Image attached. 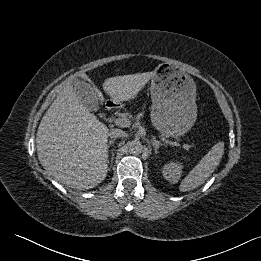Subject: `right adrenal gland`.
<instances>
[{
	"instance_id": "1",
	"label": "right adrenal gland",
	"mask_w": 261,
	"mask_h": 261,
	"mask_svg": "<svg viewBox=\"0 0 261 261\" xmlns=\"http://www.w3.org/2000/svg\"><path fill=\"white\" fill-rule=\"evenodd\" d=\"M114 141H115V139H111L110 141H109V143H108V145H107V149L109 150V147H110V145H112L113 143H114ZM114 156V155H113ZM112 163H113V157H112V159H111V165H112Z\"/></svg>"
}]
</instances>
